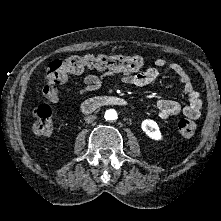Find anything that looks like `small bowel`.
<instances>
[{
    "label": "small bowel",
    "mask_w": 221,
    "mask_h": 221,
    "mask_svg": "<svg viewBox=\"0 0 221 221\" xmlns=\"http://www.w3.org/2000/svg\"><path fill=\"white\" fill-rule=\"evenodd\" d=\"M166 69L178 77L183 86V94L187 98L188 103L181 106L178 102L172 100H160L157 103L158 116L161 119H167L171 116L182 113L186 117L197 119L200 116L202 108V100L200 93L194 88L190 76L186 70L178 63H169L165 58H157L154 66L144 71L132 74H125L117 80L119 84L132 85L142 87L154 82L159 76V70ZM111 78V73L103 74H85L83 76L84 86L79 90L80 95H84L89 91H94L106 84ZM50 102H58V97L49 99Z\"/></svg>",
    "instance_id": "small-bowel-1"
}]
</instances>
